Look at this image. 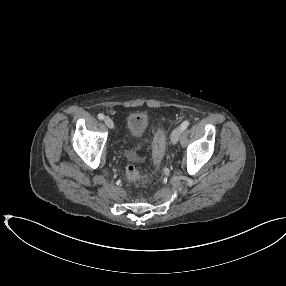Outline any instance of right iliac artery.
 <instances>
[{
  "instance_id": "1",
  "label": "right iliac artery",
  "mask_w": 286,
  "mask_h": 286,
  "mask_svg": "<svg viewBox=\"0 0 286 286\" xmlns=\"http://www.w3.org/2000/svg\"><path fill=\"white\" fill-rule=\"evenodd\" d=\"M105 118L104 114L100 113L98 114V119L103 120Z\"/></svg>"
}]
</instances>
